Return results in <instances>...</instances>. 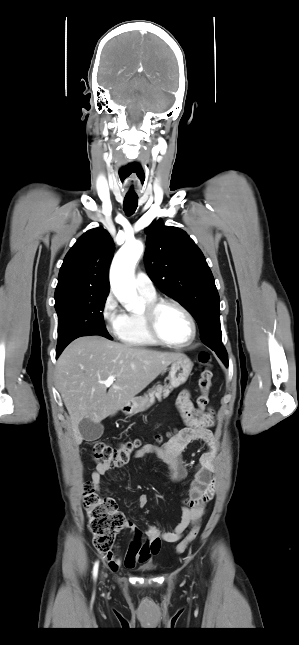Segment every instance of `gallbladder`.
I'll return each mask as SVG.
<instances>
[{
    "instance_id": "1",
    "label": "gallbladder",
    "mask_w": 299,
    "mask_h": 645,
    "mask_svg": "<svg viewBox=\"0 0 299 645\" xmlns=\"http://www.w3.org/2000/svg\"><path fill=\"white\" fill-rule=\"evenodd\" d=\"M79 431L85 441H94L103 435L104 426L85 418L79 423Z\"/></svg>"
}]
</instances>
